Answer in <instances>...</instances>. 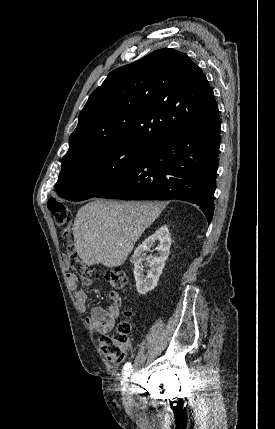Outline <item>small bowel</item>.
Here are the masks:
<instances>
[{
  "label": "small bowel",
  "mask_w": 275,
  "mask_h": 429,
  "mask_svg": "<svg viewBox=\"0 0 275 429\" xmlns=\"http://www.w3.org/2000/svg\"><path fill=\"white\" fill-rule=\"evenodd\" d=\"M67 282L74 293V298L79 309L83 312H89V316L85 321L88 327L99 334H106L112 330L115 320L119 316L120 307L122 304L120 295L116 291L109 292L111 304L107 308L99 306H90L87 303V294L85 290L79 286V278L74 273H67ZM83 286L92 285L96 279L90 277L81 278Z\"/></svg>",
  "instance_id": "small-bowel-1"
}]
</instances>
